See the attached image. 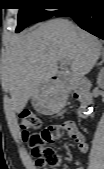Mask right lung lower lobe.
I'll return each instance as SVG.
<instances>
[{
	"label": "right lung lower lobe",
	"instance_id": "1",
	"mask_svg": "<svg viewBox=\"0 0 104 169\" xmlns=\"http://www.w3.org/2000/svg\"><path fill=\"white\" fill-rule=\"evenodd\" d=\"M55 16H70L82 29L104 39V0H77Z\"/></svg>",
	"mask_w": 104,
	"mask_h": 169
}]
</instances>
